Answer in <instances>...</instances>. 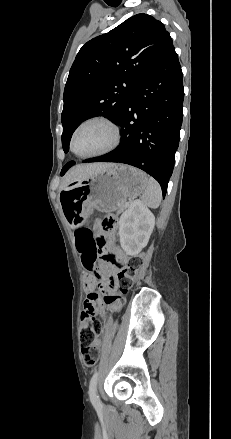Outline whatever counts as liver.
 I'll return each instance as SVG.
<instances>
[{"label": "liver", "instance_id": "1", "mask_svg": "<svg viewBox=\"0 0 231 439\" xmlns=\"http://www.w3.org/2000/svg\"><path fill=\"white\" fill-rule=\"evenodd\" d=\"M113 163H92V164H81L72 167L65 176L62 181V188L66 187L70 183L78 180H84L89 178L90 176L101 172L109 167L114 166Z\"/></svg>", "mask_w": 231, "mask_h": 439}]
</instances>
